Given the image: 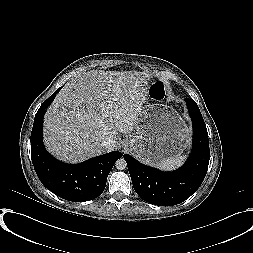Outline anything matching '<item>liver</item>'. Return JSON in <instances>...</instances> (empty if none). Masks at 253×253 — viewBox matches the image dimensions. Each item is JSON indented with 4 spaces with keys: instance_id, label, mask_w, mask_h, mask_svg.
I'll list each match as a JSON object with an SVG mask.
<instances>
[{
    "instance_id": "6515ba94",
    "label": "liver",
    "mask_w": 253,
    "mask_h": 253,
    "mask_svg": "<svg viewBox=\"0 0 253 253\" xmlns=\"http://www.w3.org/2000/svg\"><path fill=\"white\" fill-rule=\"evenodd\" d=\"M150 74L91 70L72 77L48 108L44 142L49 152L70 163L117 149L120 133L134 130L146 102ZM114 142L105 148L104 138Z\"/></svg>"
}]
</instances>
